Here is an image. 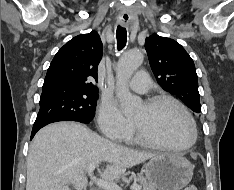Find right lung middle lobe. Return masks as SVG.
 <instances>
[{
	"instance_id": "dd1d6c3e",
	"label": "right lung middle lobe",
	"mask_w": 234,
	"mask_h": 190,
	"mask_svg": "<svg viewBox=\"0 0 234 190\" xmlns=\"http://www.w3.org/2000/svg\"><path fill=\"white\" fill-rule=\"evenodd\" d=\"M97 96L98 90L43 86L40 110L33 129L63 120L89 124L94 116Z\"/></svg>"
}]
</instances>
